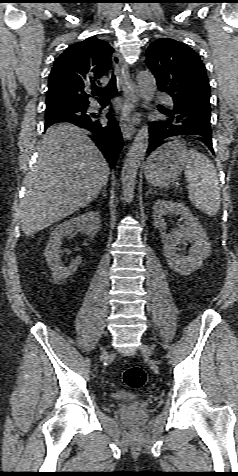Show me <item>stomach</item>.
Instances as JSON below:
<instances>
[{"instance_id":"obj_1","label":"stomach","mask_w":238,"mask_h":476,"mask_svg":"<svg viewBox=\"0 0 238 476\" xmlns=\"http://www.w3.org/2000/svg\"><path fill=\"white\" fill-rule=\"evenodd\" d=\"M188 162V154L182 143L173 140L151 154L145 165L147 181L154 187H169Z\"/></svg>"}]
</instances>
